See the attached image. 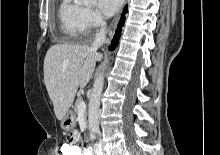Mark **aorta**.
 <instances>
[{"instance_id": "762f6f07", "label": "aorta", "mask_w": 220, "mask_h": 155, "mask_svg": "<svg viewBox=\"0 0 220 155\" xmlns=\"http://www.w3.org/2000/svg\"><path fill=\"white\" fill-rule=\"evenodd\" d=\"M86 5L94 4L96 0H81ZM104 85V74L100 73L94 81L92 94L89 101L88 122L91 134L99 133L98 112L100 107V99Z\"/></svg>"}]
</instances>
